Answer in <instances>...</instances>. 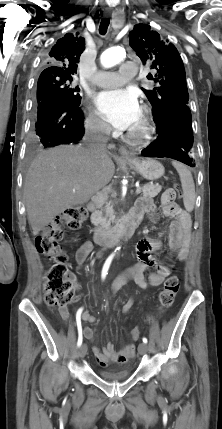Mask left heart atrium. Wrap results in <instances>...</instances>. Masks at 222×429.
I'll list each match as a JSON object with an SVG mask.
<instances>
[{"label":"left heart atrium","mask_w":222,"mask_h":429,"mask_svg":"<svg viewBox=\"0 0 222 429\" xmlns=\"http://www.w3.org/2000/svg\"><path fill=\"white\" fill-rule=\"evenodd\" d=\"M95 102L100 116L116 129H130L140 119L138 98L131 90L104 91L98 94Z\"/></svg>","instance_id":"1"}]
</instances>
